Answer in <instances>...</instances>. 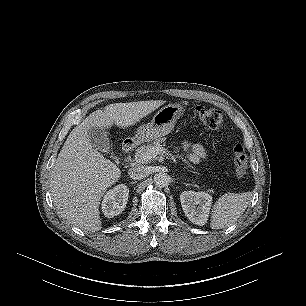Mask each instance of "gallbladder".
Instances as JSON below:
<instances>
[{"instance_id": "1", "label": "gallbladder", "mask_w": 306, "mask_h": 306, "mask_svg": "<svg viewBox=\"0 0 306 306\" xmlns=\"http://www.w3.org/2000/svg\"><path fill=\"white\" fill-rule=\"evenodd\" d=\"M88 136L95 149H109L110 140L105 130L98 127H92L88 131Z\"/></svg>"}]
</instances>
